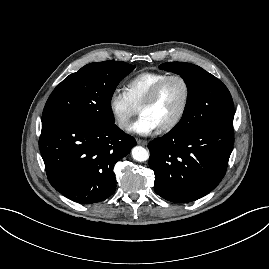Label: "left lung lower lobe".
Returning <instances> with one entry per match:
<instances>
[{
  "label": "left lung lower lobe",
  "mask_w": 269,
  "mask_h": 269,
  "mask_svg": "<svg viewBox=\"0 0 269 269\" xmlns=\"http://www.w3.org/2000/svg\"><path fill=\"white\" fill-rule=\"evenodd\" d=\"M233 146V122H213L190 132L170 131L148 144L155 192L188 203L211 192L226 173Z\"/></svg>",
  "instance_id": "obj_1"
}]
</instances>
